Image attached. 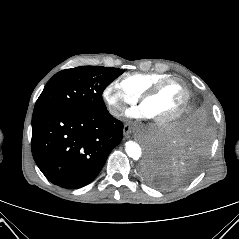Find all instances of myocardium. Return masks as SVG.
Here are the masks:
<instances>
[{"mask_svg":"<svg viewBox=\"0 0 239 239\" xmlns=\"http://www.w3.org/2000/svg\"><path fill=\"white\" fill-rule=\"evenodd\" d=\"M170 83H179L183 87V89L185 91V99H184V102H183L181 108L173 115L165 117V118H161V119H153V121L159 125L173 122V121L179 119L187 111L189 104H190V100H191L190 88L181 79H179L177 77H168V78H165V79H162V80L156 82L155 84H153L152 86L147 88L141 94V97H140L141 103H143L146 99L156 95L163 87H165L166 85H168Z\"/></svg>","mask_w":239,"mask_h":239,"instance_id":"obj_1","label":"myocardium"}]
</instances>
